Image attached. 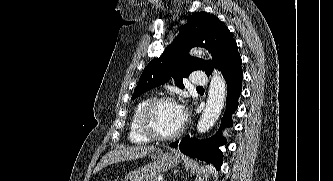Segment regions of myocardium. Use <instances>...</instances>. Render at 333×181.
Wrapping results in <instances>:
<instances>
[{
  "label": "myocardium",
  "instance_id": "1",
  "mask_svg": "<svg viewBox=\"0 0 333 181\" xmlns=\"http://www.w3.org/2000/svg\"><path fill=\"white\" fill-rule=\"evenodd\" d=\"M162 103L178 104L176 99L171 96H158L150 99L140 114L139 126L142 133L151 140L169 141L179 137L182 134L183 126L181 125L178 130L170 134H161L155 130L152 124V115L156 108Z\"/></svg>",
  "mask_w": 333,
  "mask_h": 181
}]
</instances>
